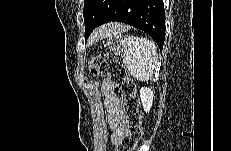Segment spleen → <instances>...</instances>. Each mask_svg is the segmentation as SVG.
<instances>
[{"label":"spleen","instance_id":"obj_1","mask_svg":"<svg viewBox=\"0 0 231 151\" xmlns=\"http://www.w3.org/2000/svg\"><path fill=\"white\" fill-rule=\"evenodd\" d=\"M158 61L155 43L147 38L128 36L123 45V64L137 80L152 79Z\"/></svg>","mask_w":231,"mask_h":151}]
</instances>
